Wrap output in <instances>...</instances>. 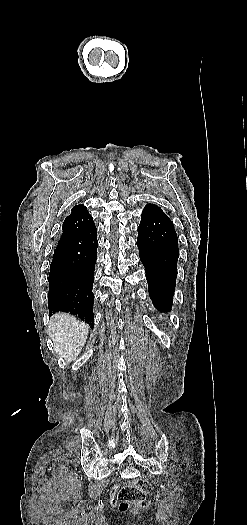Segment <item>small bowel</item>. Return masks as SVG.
Masks as SVG:
<instances>
[{
	"mask_svg": "<svg viewBox=\"0 0 247 525\" xmlns=\"http://www.w3.org/2000/svg\"><path fill=\"white\" fill-rule=\"evenodd\" d=\"M113 490H116V487H113ZM112 494H115V491H112ZM112 505H115V502H112ZM112 510H115V507H112Z\"/></svg>",
	"mask_w": 247,
	"mask_h": 525,
	"instance_id": "1",
	"label": "small bowel"
}]
</instances>
